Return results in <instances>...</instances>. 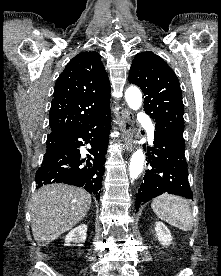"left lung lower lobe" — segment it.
<instances>
[{
  "label": "left lung lower lobe",
  "instance_id": "left-lung-lower-lobe-1",
  "mask_svg": "<svg viewBox=\"0 0 221 276\" xmlns=\"http://www.w3.org/2000/svg\"><path fill=\"white\" fill-rule=\"evenodd\" d=\"M154 147L148 153L143 181L136 194L135 207L165 192L192 198L185 160V143L174 135L155 131Z\"/></svg>",
  "mask_w": 221,
  "mask_h": 276
}]
</instances>
